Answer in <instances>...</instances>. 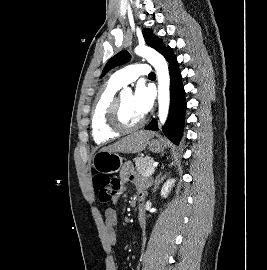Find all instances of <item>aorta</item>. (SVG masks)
Wrapping results in <instances>:
<instances>
[{"label": "aorta", "instance_id": "obj_1", "mask_svg": "<svg viewBox=\"0 0 267 270\" xmlns=\"http://www.w3.org/2000/svg\"><path fill=\"white\" fill-rule=\"evenodd\" d=\"M135 53L141 56L155 68L158 78V109L161 124H164L169 111L170 104V76L168 64L165 58L156 50L140 45L135 48ZM124 94L131 93V89L125 88Z\"/></svg>", "mask_w": 267, "mask_h": 270}]
</instances>
